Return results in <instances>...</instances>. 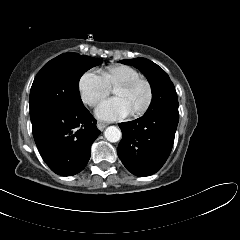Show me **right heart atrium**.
<instances>
[{
    "instance_id": "obj_1",
    "label": "right heart atrium",
    "mask_w": 240,
    "mask_h": 240,
    "mask_svg": "<svg viewBox=\"0 0 240 240\" xmlns=\"http://www.w3.org/2000/svg\"><path fill=\"white\" fill-rule=\"evenodd\" d=\"M78 91L84 104L95 106L110 93V87L101 75L87 71L79 78Z\"/></svg>"
}]
</instances>
